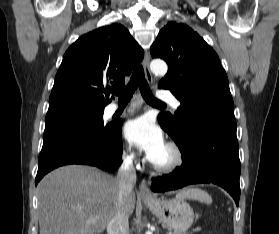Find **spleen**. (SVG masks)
<instances>
[{"label": "spleen", "instance_id": "obj_1", "mask_svg": "<svg viewBox=\"0 0 279 234\" xmlns=\"http://www.w3.org/2000/svg\"><path fill=\"white\" fill-rule=\"evenodd\" d=\"M177 197L180 199H194L206 204L212 203L211 196L201 189H185Z\"/></svg>", "mask_w": 279, "mask_h": 234}]
</instances>
